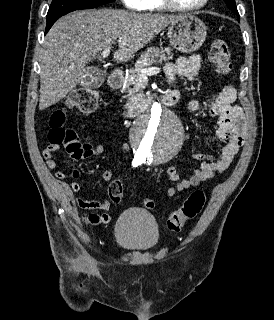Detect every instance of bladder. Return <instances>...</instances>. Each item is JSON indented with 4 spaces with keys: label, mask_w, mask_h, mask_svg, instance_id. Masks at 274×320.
Returning a JSON list of instances; mask_svg holds the SVG:
<instances>
[{
    "label": "bladder",
    "mask_w": 274,
    "mask_h": 320,
    "mask_svg": "<svg viewBox=\"0 0 274 320\" xmlns=\"http://www.w3.org/2000/svg\"><path fill=\"white\" fill-rule=\"evenodd\" d=\"M117 243L128 251H147L159 241V229L153 216L144 209L125 210L115 225Z\"/></svg>",
    "instance_id": "31cf9c89"
}]
</instances>
